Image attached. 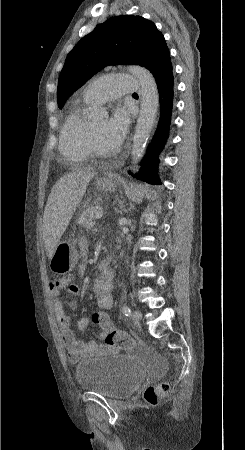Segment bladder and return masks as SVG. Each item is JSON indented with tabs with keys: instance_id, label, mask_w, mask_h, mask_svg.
I'll list each match as a JSON object with an SVG mask.
<instances>
[{
	"instance_id": "bladder-1",
	"label": "bladder",
	"mask_w": 245,
	"mask_h": 450,
	"mask_svg": "<svg viewBox=\"0 0 245 450\" xmlns=\"http://www.w3.org/2000/svg\"><path fill=\"white\" fill-rule=\"evenodd\" d=\"M142 368L126 355L107 354L77 365L75 378L79 387L107 398L130 395L143 380Z\"/></svg>"
}]
</instances>
